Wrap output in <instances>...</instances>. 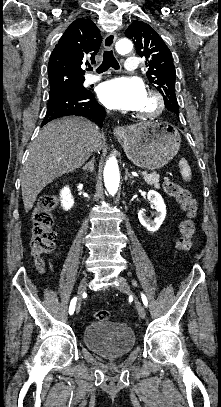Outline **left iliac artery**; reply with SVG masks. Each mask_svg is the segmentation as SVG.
I'll list each match as a JSON object with an SVG mask.
<instances>
[{
	"label": "left iliac artery",
	"mask_w": 221,
	"mask_h": 407,
	"mask_svg": "<svg viewBox=\"0 0 221 407\" xmlns=\"http://www.w3.org/2000/svg\"><path fill=\"white\" fill-rule=\"evenodd\" d=\"M141 298H142L143 304L147 307V304H148L147 303V298L143 293H141Z\"/></svg>",
	"instance_id": "1"
}]
</instances>
